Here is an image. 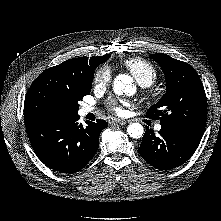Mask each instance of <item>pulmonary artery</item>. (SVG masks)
<instances>
[{"label":"pulmonary artery","mask_w":221,"mask_h":221,"mask_svg":"<svg viewBox=\"0 0 221 221\" xmlns=\"http://www.w3.org/2000/svg\"><path fill=\"white\" fill-rule=\"evenodd\" d=\"M93 110V108L92 107H90V106H84L82 109H81V112H82V114H87V113H89V112H91ZM155 128H156V130H160L161 129V125H156L155 126Z\"/></svg>","instance_id":"pulmonary-artery-1"}]
</instances>
